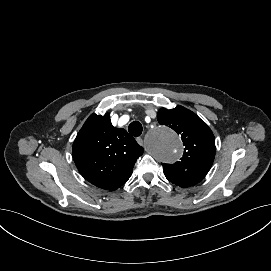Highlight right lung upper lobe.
<instances>
[{
	"label": "right lung upper lobe",
	"mask_w": 271,
	"mask_h": 271,
	"mask_svg": "<svg viewBox=\"0 0 271 271\" xmlns=\"http://www.w3.org/2000/svg\"><path fill=\"white\" fill-rule=\"evenodd\" d=\"M72 154L86 180L116 190L130 178L143 148L126 130L113 127L109 114H92L79 131Z\"/></svg>",
	"instance_id": "1"
}]
</instances>
